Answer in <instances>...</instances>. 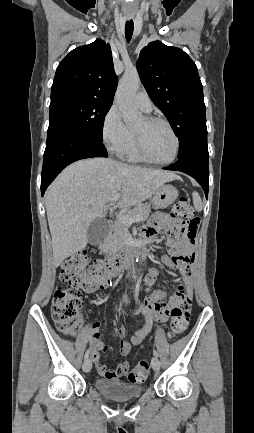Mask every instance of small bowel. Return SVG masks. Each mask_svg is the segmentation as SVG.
I'll use <instances>...</instances> for the list:
<instances>
[{
	"label": "small bowel",
	"instance_id": "c3829d8e",
	"mask_svg": "<svg viewBox=\"0 0 254 433\" xmlns=\"http://www.w3.org/2000/svg\"><path fill=\"white\" fill-rule=\"evenodd\" d=\"M161 228H166L170 232L173 229L179 228V226L167 221L166 215L157 214L143 229V239L152 241ZM191 246L184 238L178 237L176 246L172 249V255H163L161 257V262L164 265L178 271L183 278L184 283L179 286L175 294L167 298L164 291L152 289L159 274L157 269L153 268L146 274L144 279L146 285L145 303L133 307L134 314L143 315L146 323L141 329L131 335L130 342L125 339L126 329L124 327H120L117 330V334L120 337L119 352L121 355L128 356L131 351V345L141 344L155 323L166 322L171 307L178 302L179 297H186L191 300V282L194 275L195 260ZM108 285L109 281L100 284L97 289L104 290ZM99 329V323L92 325L90 342L91 359L102 377L118 380L128 373L129 364L128 362H120L115 369H108L105 366L100 358V352L108 351V347L101 342Z\"/></svg>",
	"mask_w": 254,
	"mask_h": 433
}]
</instances>
